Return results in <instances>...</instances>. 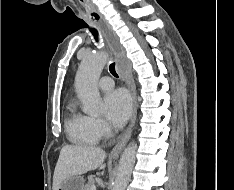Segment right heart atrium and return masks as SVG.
Instances as JSON below:
<instances>
[{
  "instance_id": "1",
  "label": "right heart atrium",
  "mask_w": 234,
  "mask_h": 190,
  "mask_svg": "<svg viewBox=\"0 0 234 190\" xmlns=\"http://www.w3.org/2000/svg\"><path fill=\"white\" fill-rule=\"evenodd\" d=\"M91 125L99 137H105L110 133L108 124L101 118L90 117Z\"/></svg>"
}]
</instances>
